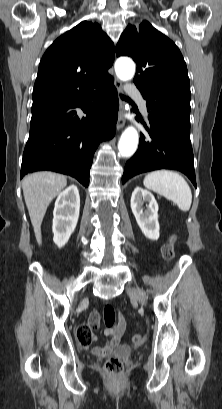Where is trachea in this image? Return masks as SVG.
<instances>
[{
    "instance_id": "1",
    "label": "trachea",
    "mask_w": 222,
    "mask_h": 409,
    "mask_svg": "<svg viewBox=\"0 0 222 409\" xmlns=\"http://www.w3.org/2000/svg\"><path fill=\"white\" fill-rule=\"evenodd\" d=\"M121 98H122V99H129V97H126V96H124V95H121Z\"/></svg>"
}]
</instances>
